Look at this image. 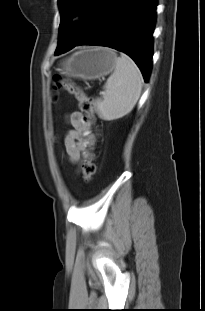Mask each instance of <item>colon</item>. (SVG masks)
<instances>
[{"instance_id": "colon-1", "label": "colon", "mask_w": 205, "mask_h": 311, "mask_svg": "<svg viewBox=\"0 0 205 311\" xmlns=\"http://www.w3.org/2000/svg\"><path fill=\"white\" fill-rule=\"evenodd\" d=\"M56 88L62 91H65L71 95H73L78 101L79 108L83 114L84 120L87 124L93 125L95 122V111L93 99L86 95L83 89L66 80L56 79ZM90 149L86 152L82 174L85 181H90L96 172V164H95V152H94V144H89Z\"/></svg>"}]
</instances>
